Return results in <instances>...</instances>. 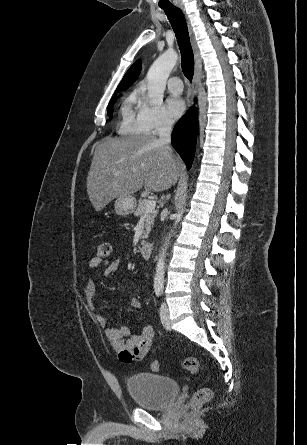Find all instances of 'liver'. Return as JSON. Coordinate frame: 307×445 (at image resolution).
Returning a JSON list of instances; mask_svg holds the SVG:
<instances>
[{
	"label": "liver",
	"instance_id": "1",
	"mask_svg": "<svg viewBox=\"0 0 307 445\" xmlns=\"http://www.w3.org/2000/svg\"><path fill=\"white\" fill-rule=\"evenodd\" d=\"M180 170V158L169 144L158 142L155 134L107 136L95 146L87 194L95 210H102L113 198L132 196L142 186L155 192L166 190L177 182Z\"/></svg>",
	"mask_w": 307,
	"mask_h": 445
}]
</instances>
